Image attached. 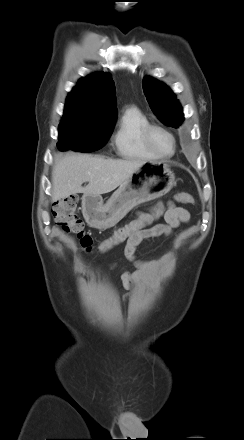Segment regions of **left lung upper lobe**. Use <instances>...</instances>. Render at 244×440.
<instances>
[{
	"label": "left lung upper lobe",
	"mask_w": 244,
	"mask_h": 440,
	"mask_svg": "<svg viewBox=\"0 0 244 440\" xmlns=\"http://www.w3.org/2000/svg\"><path fill=\"white\" fill-rule=\"evenodd\" d=\"M143 89L157 117L168 126L179 127L184 120V114L175 94L165 84L152 77L144 78Z\"/></svg>",
	"instance_id": "5c2ea615"
}]
</instances>
